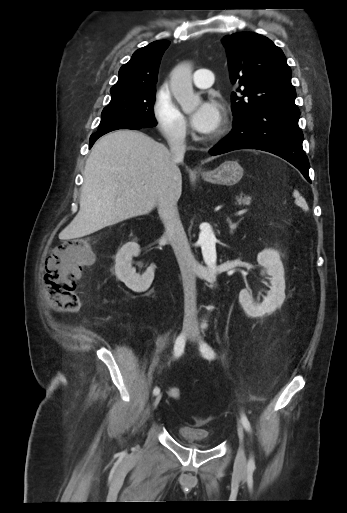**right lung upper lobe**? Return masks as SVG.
Masks as SVG:
<instances>
[{
	"mask_svg": "<svg viewBox=\"0 0 347 513\" xmlns=\"http://www.w3.org/2000/svg\"><path fill=\"white\" fill-rule=\"evenodd\" d=\"M169 44L168 40H158L135 51L120 68L119 79L110 92L156 86L161 57Z\"/></svg>",
	"mask_w": 347,
	"mask_h": 513,
	"instance_id": "right-lung-upper-lobe-1",
	"label": "right lung upper lobe"
}]
</instances>
